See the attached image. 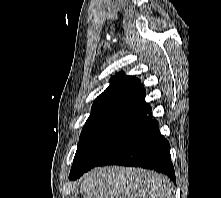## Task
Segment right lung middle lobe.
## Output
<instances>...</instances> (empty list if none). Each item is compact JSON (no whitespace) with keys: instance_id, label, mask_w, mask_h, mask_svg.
<instances>
[{"instance_id":"right-lung-middle-lobe-1","label":"right lung middle lobe","mask_w":221,"mask_h":198,"mask_svg":"<svg viewBox=\"0 0 221 198\" xmlns=\"http://www.w3.org/2000/svg\"><path fill=\"white\" fill-rule=\"evenodd\" d=\"M143 123L108 120L86 125L78 143L69 179H77L129 140Z\"/></svg>"}]
</instances>
